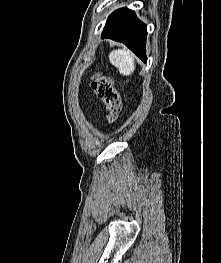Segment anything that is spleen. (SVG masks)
Returning a JSON list of instances; mask_svg holds the SVG:
<instances>
[{
    "instance_id": "3e777b00",
    "label": "spleen",
    "mask_w": 221,
    "mask_h": 263,
    "mask_svg": "<svg viewBox=\"0 0 221 263\" xmlns=\"http://www.w3.org/2000/svg\"><path fill=\"white\" fill-rule=\"evenodd\" d=\"M109 61L115 66L119 73L124 76L131 75L135 70V59L133 54L126 49H117L109 53Z\"/></svg>"
}]
</instances>
